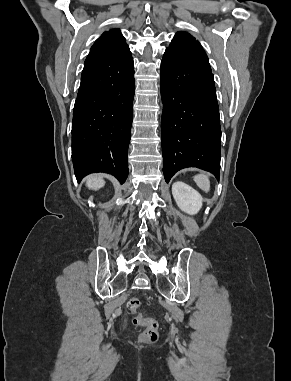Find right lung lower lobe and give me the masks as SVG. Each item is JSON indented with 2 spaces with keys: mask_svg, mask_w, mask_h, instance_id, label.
I'll list each match as a JSON object with an SVG mask.
<instances>
[{
  "mask_svg": "<svg viewBox=\"0 0 291 381\" xmlns=\"http://www.w3.org/2000/svg\"><path fill=\"white\" fill-rule=\"evenodd\" d=\"M134 91L129 50L86 58L72 122V161L78 182L97 172L112 174L120 183L127 179Z\"/></svg>",
  "mask_w": 291,
  "mask_h": 381,
  "instance_id": "obj_1",
  "label": "right lung lower lobe"
}]
</instances>
